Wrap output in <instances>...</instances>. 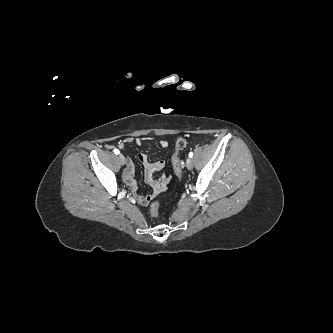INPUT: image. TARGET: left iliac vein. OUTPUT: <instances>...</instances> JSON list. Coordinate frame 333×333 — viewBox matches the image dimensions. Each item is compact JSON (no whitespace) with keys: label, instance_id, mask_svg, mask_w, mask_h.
<instances>
[{"label":"left iliac vein","instance_id":"4c4485c4","mask_svg":"<svg viewBox=\"0 0 333 333\" xmlns=\"http://www.w3.org/2000/svg\"><path fill=\"white\" fill-rule=\"evenodd\" d=\"M186 167L191 170L193 168V160L191 158H188L186 160Z\"/></svg>","mask_w":333,"mask_h":333}]
</instances>
